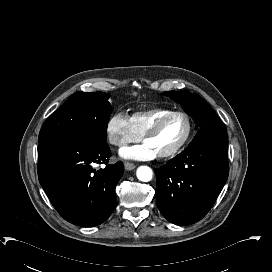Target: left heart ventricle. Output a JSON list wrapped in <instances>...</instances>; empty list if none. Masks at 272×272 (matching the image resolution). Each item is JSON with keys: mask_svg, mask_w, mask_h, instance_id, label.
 <instances>
[{"mask_svg": "<svg viewBox=\"0 0 272 272\" xmlns=\"http://www.w3.org/2000/svg\"><path fill=\"white\" fill-rule=\"evenodd\" d=\"M186 132V124L183 118L174 117L164 123V125L152 136L147 138L154 149L161 153L174 150L183 139Z\"/></svg>", "mask_w": 272, "mask_h": 272, "instance_id": "b2bd125f", "label": "left heart ventricle"}]
</instances>
